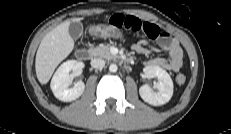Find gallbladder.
I'll return each instance as SVG.
<instances>
[{
    "label": "gallbladder",
    "mask_w": 231,
    "mask_h": 134,
    "mask_svg": "<svg viewBox=\"0 0 231 134\" xmlns=\"http://www.w3.org/2000/svg\"><path fill=\"white\" fill-rule=\"evenodd\" d=\"M83 31V26L80 22H72L69 26V34L72 38L77 39Z\"/></svg>",
    "instance_id": "obj_1"
}]
</instances>
